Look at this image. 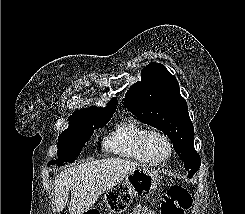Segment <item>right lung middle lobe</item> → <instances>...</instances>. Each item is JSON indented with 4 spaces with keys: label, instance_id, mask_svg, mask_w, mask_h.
Masks as SVG:
<instances>
[{
    "label": "right lung middle lobe",
    "instance_id": "1",
    "mask_svg": "<svg viewBox=\"0 0 245 214\" xmlns=\"http://www.w3.org/2000/svg\"><path fill=\"white\" fill-rule=\"evenodd\" d=\"M110 114H91L77 116L71 119L69 127L58 137V159L50 161V165H64L74 162L80 155L82 148L91 138L95 129L105 126L111 119Z\"/></svg>",
    "mask_w": 245,
    "mask_h": 214
}]
</instances>
